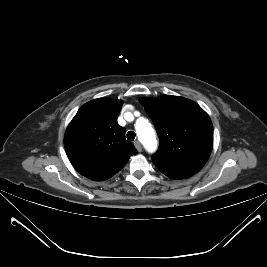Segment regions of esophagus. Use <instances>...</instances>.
I'll return each instance as SVG.
<instances>
[{"instance_id":"obj_1","label":"esophagus","mask_w":267,"mask_h":267,"mask_svg":"<svg viewBox=\"0 0 267 267\" xmlns=\"http://www.w3.org/2000/svg\"><path fill=\"white\" fill-rule=\"evenodd\" d=\"M134 145H135L136 149L138 150V152L142 151V146H141L139 141H135Z\"/></svg>"}]
</instances>
